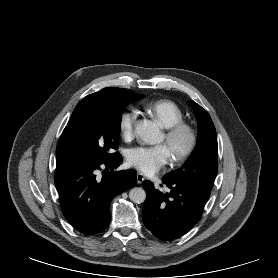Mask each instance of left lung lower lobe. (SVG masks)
Here are the masks:
<instances>
[{
    "instance_id": "obj_1",
    "label": "left lung lower lobe",
    "mask_w": 278,
    "mask_h": 278,
    "mask_svg": "<svg viewBox=\"0 0 278 278\" xmlns=\"http://www.w3.org/2000/svg\"><path fill=\"white\" fill-rule=\"evenodd\" d=\"M170 189L164 193L148 180L143 182L147 197L143 207L145 227L158 239L173 240L189 231L200 219L211 190L163 177Z\"/></svg>"
}]
</instances>
